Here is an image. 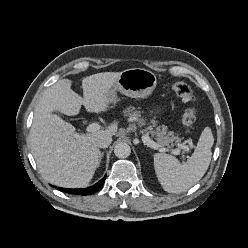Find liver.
<instances>
[{
    "label": "liver",
    "mask_w": 248,
    "mask_h": 248,
    "mask_svg": "<svg viewBox=\"0 0 248 248\" xmlns=\"http://www.w3.org/2000/svg\"><path fill=\"white\" fill-rule=\"evenodd\" d=\"M121 72L93 74L82 80L83 98L72 89V81L61 79L47 88L40 98L30 130L31 152L39 172L49 183L65 188L85 187L99 166L101 152L98 137L116 134L117 123L105 130L86 134L75 132L55 112L75 116L84 105L89 112H104L109 105L107 94Z\"/></svg>",
    "instance_id": "1"
}]
</instances>
